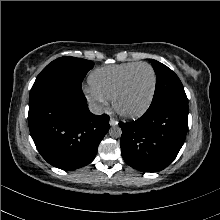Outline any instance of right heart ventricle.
Segmentation results:
<instances>
[{
	"label": "right heart ventricle",
	"instance_id": "1",
	"mask_svg": "<svg viewBox=\"0 0 220 220\" xmlns=\"http://www.w3.org/2000/svg\"><path fill=\"white\" fill-rule=\"evenodd\" d=\"M136 64L138 63L129 62L97 68L88 77L89 86L93 91L110 100L125 74Z\"/></svg>",
	"mask_w": 220,
	"mask_h": 220
}]
</instances>
